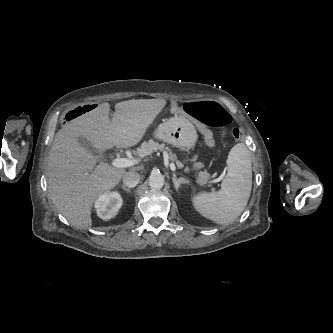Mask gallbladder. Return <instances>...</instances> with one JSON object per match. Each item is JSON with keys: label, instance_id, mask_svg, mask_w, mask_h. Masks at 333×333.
<instances>
[{"label": "gallbladder", "instance_id": "obj_1", "mask_svg": "<svg viewBox=\"0 0 333 333\" xmlns=\"http://www.w3.org/2000/svg\"><path fill=\"white\" fill-rule=\"evenodd\" d=\"M78 142L81 146H83L85 149H87L89 152H91L93 155H95L97 158L102 159L104 156V153L102 151H99L96 149L88 139L85 137H78Z\"/></svg>", "mask_w": 333, "mask_h": 333}]
</instances>
